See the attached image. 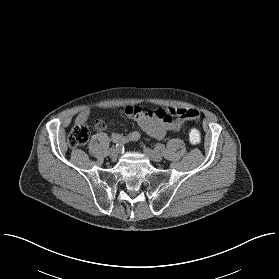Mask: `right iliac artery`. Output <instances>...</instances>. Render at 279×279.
<instances>
[{"label": "right iliac artery", "instance_id": "right-iliac-artery-1", "mask_svg": "<svg viewBox=\"0 0 279 279\" xmlns=\"http://www.w3.org/2000/svg\"><path fill=\"white\" fill-rule=\"evenodd\" d=\"M114 143V146L117 148V149H120L121 148V144L117 141H113Z\"/></svg>", "mask_w": 279, "mask_h": 279}]
</instances>
